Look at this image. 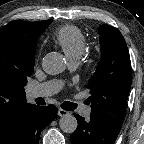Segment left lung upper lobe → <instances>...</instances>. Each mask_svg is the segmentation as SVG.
Wrapping results in <instances>:
<instances>
[{
  "instance_id": "obj_1",
  "label": "left lung upper lobe",
  "mask_w": 144,
  "mask_h": 144,
  "mask_svg": "<svg viewBox=\"0 0 144 144\" xmlns=\"http://www.w3.org/2000/svg\"><path fill=\"white\" fill-rule=\"evenodd\" d=\"M101 60L89 82L90 116L121 129L132 82L129 51L122 34L114 27H99Z\"/></svg>"
}]
</instances>
